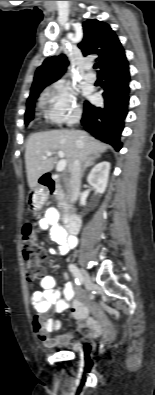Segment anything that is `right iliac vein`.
Returning <instances> with one entry per match:
<instances>
[{"label": "right iliac vein", "mask_w": 155, "mask_h": 395, "mask_svg": "<svg viewBox=\"0 0 155 395\" xmlns=\"http://www.w3.org/2000/svg\"><path fill=\"white\" fill-rule=\"evenodd\" d=\"M80 273L82 274V282L84 283L86 289L90 291L92 289V281L89 274L83 269H80Z\"/></svg>", "instance_id": "right-iliac-vein-1"}]
</instances>
